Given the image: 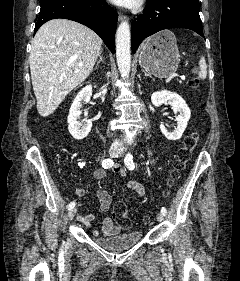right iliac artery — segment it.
I'll use <instances>...</instances> for the list:
<instances>
[{
	"label": "right iliac artery",
	"mask_w": 240,
	"mask_h": 281,
	"mask_svg": "<svg viewBox=\"0 0 240 281\" xmlns=\"http://www.w3.org/2000/svg\"><path fill=\"white\" fill-rule=\"evenodd\" d=\"M113 165H114V161L112 159H104L102 161V167L105 169H109ZM74 206H75V202H71L68 204L67 209L71 210L72 208H74Z\"/></svg>",
	"instance_id": "right-iliac-artery-1"
}]
</instances>
